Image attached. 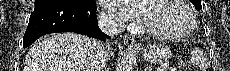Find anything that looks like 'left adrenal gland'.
<instances>
[{"mask_svg":"<svg viewBox=\"0 0 230 71\" xmlns=\"http://www.w3.org/2000/svg\"><path fill=\"white\" fill-rule=\"evenodd\" d=\"M149 69H148V67L147 68H145V71H148Z\"/></svg>","mask_w":230,"mask_h":71,"instance_id":"a2214340","label":"left adrenal gland"}]
</instances>
